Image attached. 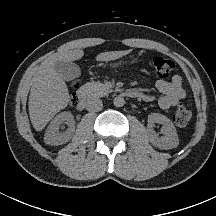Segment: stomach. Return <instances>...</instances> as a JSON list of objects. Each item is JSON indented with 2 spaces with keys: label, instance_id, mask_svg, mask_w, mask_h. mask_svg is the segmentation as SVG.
Here are the masks:
<instances>
[{
  "label": "stomach",
  "instance_id": "obj_1",
  "mask_svg": "<svg viewBox=\"0 0 216 216\" xmlns=\"http://www.w3.org/2000/svg\"><path fill=\"white\" fill-rule=\"evenodd\" d=\"M138 61V58L133 57L130 61L131 64L136 63Z\"/></svg>",
  "mask_w": 216,
  "mask_h": 216
}]
</instances>
